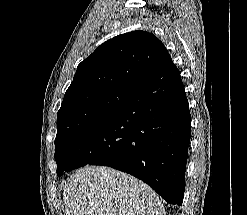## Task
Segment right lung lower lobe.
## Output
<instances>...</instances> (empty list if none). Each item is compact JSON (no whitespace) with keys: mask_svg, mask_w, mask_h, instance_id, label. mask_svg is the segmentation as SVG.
Instances as JSON below:
<instances>
[{"mask_svg":"<svg viewBox=\"0 0 247 215\" xmlns=\"http://www.w3.org/2000/svg\"><path fill=\"white\" fill-rule=\"evenodd\" d=\"M190 136L188 100L170 57L115 113L80 137L67 172L88 164L109 166L141 179L168 203L181 205Z\"/></svg>","mask_w":247,"mask_h":215,"instance_id":"obj_1","label":"right lung lower lobe"}]
</instances>
